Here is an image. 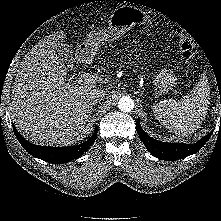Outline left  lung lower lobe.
<instances>
[{"instance_id": "0a47b994", "label": "left lung lower lobe", "mask_w": 221, "mask_h": 221, "mask_svg": "<svg viewBox=\"0 0 221 221\" xmlns=\"http://www.w3.org/2000/svg\"><path fill=\"white\" fill-rule=\"evenodd\" d=\"M136 128L140 139L143 141L145 147L149 150V152L155 157L166 161L179 160L189 155L195 154L205 145L213 132L211 131L209 134H207L194 144H183L165 143L151 138L141 128L139 119L137 120Z\"/></svg>"}]
</instances>
